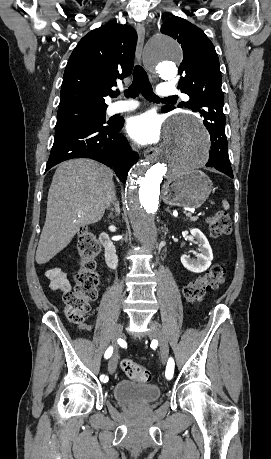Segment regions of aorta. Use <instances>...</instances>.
I'll return each instance as SVG.
<instances>
[{"instance_id": "1", "label": "aorta", "mask_w": 271, "mask_h": 459, "mask_svg": "<svg viewBox=\"0 0 271 459\" xmlns=\"http://www.w3.org/2000/svg\"><path fill=\"white\" fill-rule=\"evenodd\" d=\"M181 58L180 45L170 37L157 36L147 45V63L164 79L175 77V63ZM208 158V135L202 124L193 116L178 115L167 124L156 160L133 166L125 202L134 235L145 247L154 248L157 242L155 220L163 177L189 174L203 167Z\"/></svg>"}]
</instances>
